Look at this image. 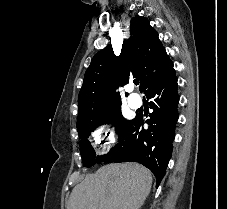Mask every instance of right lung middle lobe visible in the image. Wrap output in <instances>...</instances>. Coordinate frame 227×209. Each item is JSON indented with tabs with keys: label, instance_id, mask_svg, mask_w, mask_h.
I'll list each match as a JSON object with an SVG mask.
<instances>
[{
	"label": "right lung middle lobe",
	"instance_id": "1",
	"mask_svg": "<svg viewBox=\"0 0 227 209\" xmlns=\"http://www.w3.org/2000/svg\"><path fill=\"white\" fill-rule=\"evenodd\" d=\"M105 109L97 115L79 117L77 120V131L81 140V154L84 167H91L95 163H100L103 156H96L93 147L87 140L90 133L101 124L113 123L116 131L119 132V140L131 121H126L121 114L120 98L108 99L105 102ZM109 134V133H108Z\"/></svg>",
	"mask_w": 227,
	"mask_h": 209
}]
</instances>
